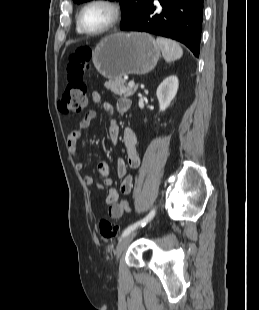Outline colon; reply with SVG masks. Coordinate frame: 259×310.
Masks as SVG:
<instances>
[{
	"label": "colon",
	"mask_w": 259,
	"mask_h": 310,
	"mask_svg": "<svg viewBox=\"0 0 259 310\" xmlns=\"http://www.w3.org/2000/svg\"><path fill=\"white\" fill-rule=\"evenodd\" d=\"M91 49L79 47L68 58L66 67L67 85L60 99V109L67 113H81L87 105V86L84 76L89 69ZM98 230L104 239H111L118 235V226L109 220L99 222Z\"/></svg>",
	"instance_id": "obj_1"
}]
</instances>
